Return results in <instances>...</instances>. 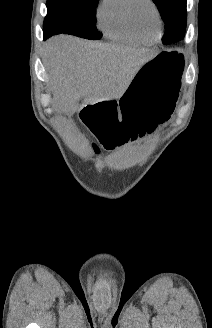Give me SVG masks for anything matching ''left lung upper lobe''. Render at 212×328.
<instances>
[{
    "label": "left lung upper lobe",
    "mask_w": 212,
    "mask_h": 328,
    "mask_svg": "<svg viewBox=\"0 0 212 328\" xmlns=\"http://www.w3.org/2000/svg\"><path fill=\"white\" fill-rule=\"evenodd\" d=\"M165 24L166 33L162 37L165 45L184 38L186 29V0H152Z\"/></svg>",
    "instance_id": "left-lung-upper-lobe-1"
}]
</instances>
